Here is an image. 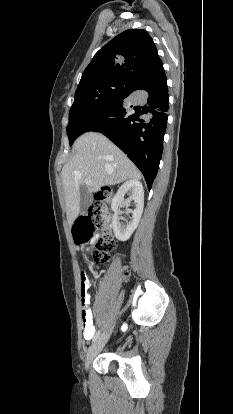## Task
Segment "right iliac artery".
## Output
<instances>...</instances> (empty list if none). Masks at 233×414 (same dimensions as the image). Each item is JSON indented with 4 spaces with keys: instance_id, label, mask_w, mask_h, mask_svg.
Returning a JSON list of instances; mask_svg holds the SVG:
<instances>
[{
    "instance_id": "82829eb1",
    "label": "right iliac artery",
    "mask_w": 233,
    "mask_h": 414,
    "mask_svg": "<svg viewBox=\"0 0 233 414\" xmlns=\"http://www.w3.org/2000/svg\"><path fill=\"white\" fill-rule=\"evenodd\" d=\"M101 331L99 330L93 337L92 342H95L100 337Z\"/></svg>"
}]
</instances>
